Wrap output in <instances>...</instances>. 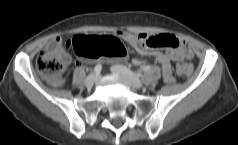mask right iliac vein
Wrapping results in <instances>:
<instances>
[{
    "instance_id": "obj_1",
    "label": "right iliac vein",
    "mask_w": 238,
    "mask_h": 145,
    "mask_svg": "<svg viewBox=\"0 0 238 145\" xmlns=\"http://www.w3.org/2000/svg\"><path fill=\"white\" fill-rule=\"evenodd\" d=\"M96 80L97 76L95 74H90L85 80V85L88 88H91L95 84Z\"/></svg>"
}]
</instances>
